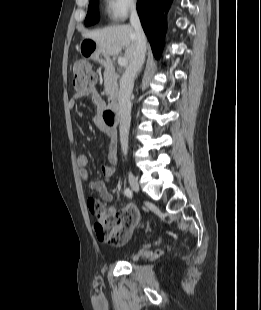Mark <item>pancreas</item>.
<instances>
[{
  "mask_svg": "<svg viewBox=\"0 0 261 310\" xmlns=\"http://www.w3.org/2000/svg\"><path fill=\"white\" fill-rule=\"evenodd\" d=\"M119 76L110 71L104 73V87L107 95L113 96L117 92V81Z\"/></svg>",
  "mask_w": 261,
  "mask_h": 310,
  "instance_id": "obj_1",
  "label": "pancreas"
}]
</instances>
